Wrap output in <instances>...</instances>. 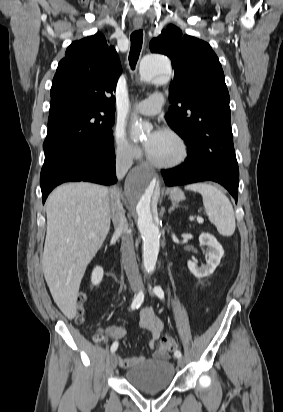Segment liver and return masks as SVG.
Here are the masks:
<instances>
[{
    "label": "liver",
    "mask_w": 283,
    "mask_h": 412,
    "mask_svg": "<svg viewBox=\"0 0 283 412\" xmlns=\"http://www.w3.org/2000/svg\"><path fill=\"white\" fill-rule=\"evenodd\" d=\"M110 190L90 183L57 187L46 201L47 233L42 268L51 295L68 319L87 265L110 229Z\"/></svg>",
    "instance_id": "1"
}]
</instances>
